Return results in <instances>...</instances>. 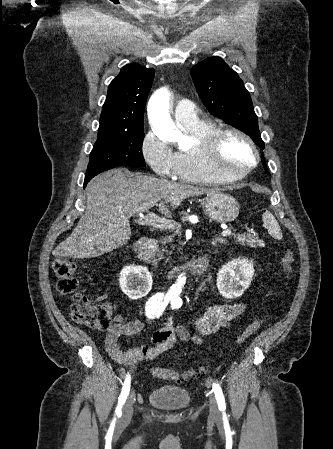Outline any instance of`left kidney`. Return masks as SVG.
Masks as SVG:
<instances>
[{"mask_svg":"<svg viewBox=\"0 0 333 449\" xmlns=\"http://www.w3.org/2000/svg\"><path fill=\"white\" fill-rule=\"evenodd\" d=\"M253 275V262L246 258L234 259L219 269L217 288L225 298L239 297L251 284Z\"/></svg>","mask_w":333,"mask_h":449,"instance_id":"left-kidney-1","label":"left kidney"}]
</instances>
